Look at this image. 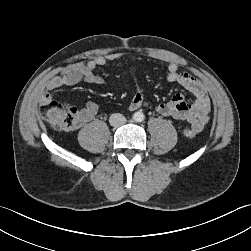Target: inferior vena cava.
<instances>
[{
	"mask_svg": "<svg viewBox=\"0 0 251 251\" xmlns=\"http://www.w3.org/2000/svg\"><path fill=\"white\" fill-rule=\"evenodd\" d=\"M109 123L114 127H119L126 123V118L120 113H115L110 116Z\"/></svg>",
	"mask_w": 251,
	"mask_h": 251,
	"instance_id": "inferior-vena-cava-1",
	"label": "inferior vena cava"
}]
</instances>
